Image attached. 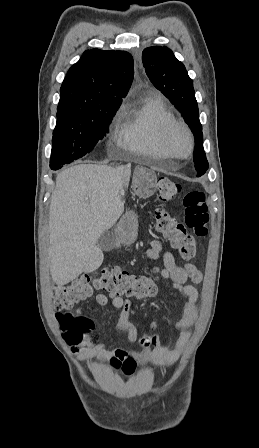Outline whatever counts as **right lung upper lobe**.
I'll return each mask as SVG.
<instances>
[{
	"label": "right lung upper lobe",
	"instance_id": "cb5924a9",
	"mask_svg": "<svg viewBox=\"0 0 259 448\" xmlns=\"http://www.w3.org/2000/svg\"><path fill=\"white\" fill-rule=\"evenodd\" d=\"M131 54L91 49L68 71L57 114L119 108L134 74Z\"/></svg>",
	"mask_w": 259,
	"mask_h": 448
}]
</instances>
